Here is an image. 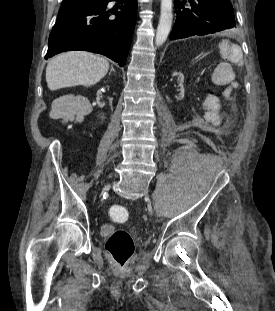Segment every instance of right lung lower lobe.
<instances>
[{
  "label": "right lung lower lobe",
  "mask_w": 275,
  "mask_h": 311,
  "mask_svg": "<svg viewBox=\"0 0 275 311\" xmlns=\"http://www.w3.org/2000/svg\"><path fill=\"white\" fill-rule=\"evenodd\" d=\"M112 0H99L59 12L45 59L60 52L83 50L103 54L125 65L136 22L137 0H120V11H107Z\"/></svg>",
  "instance_id": "right-lung-lower-lobe-1"
}]
</instances>
